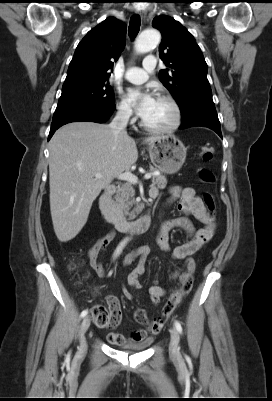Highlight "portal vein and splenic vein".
<instances>
[{
	"label": "portal vein and splenic vein",
	"instance_id": "18ae733b",
	"mask_svg": "<svg viewBox=\"0 0 272 401\" xmlns=\"http://www.w3.org/2000/svg\"><path fill=\"white\" fill-rule=\"evenodd\" d=\"M95 177H96V178H101L102 176H101V174L97 173V174L95 175ZM117 178H118L119 180L127 181V182L132 183V184H137V183H138V178H137V176L134 175V174H132L131 172L120 173V174L117 175ZM150 178H151V174H146V175L144 176V179H146V180H148V179H150Z\"/></svg>",
	"mask_w": 272,
	"mask_h": 401
}]
</instances>
